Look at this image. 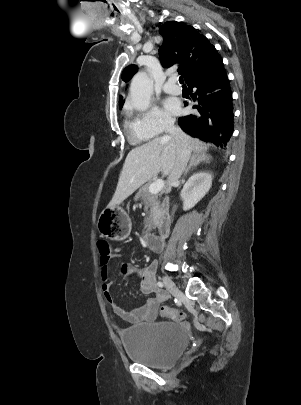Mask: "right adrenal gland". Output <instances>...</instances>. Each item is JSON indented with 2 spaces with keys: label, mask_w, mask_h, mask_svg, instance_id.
Instances as JSON below:
<instances>
[{
  "label": "right adrenal gland",
  "mask_w": 301,
  "mask_h": 405,
  "mask_svg": "<svg viewBox=\"0 0 301 405\" xmlns=\"http://www.w3.org/2000/svg\"><path fill=\"white\" fill-rule=\"evenodd\" d=\"M210 160V156L207 155L204 152H194L193 156L190 159L189 165L184 171L183 176H186V174L192 169L196 168L199 164L201 163H208Z\"/></svg>",
  "instance_id": "right-adrenal-gland-1"
}]
</instances>
